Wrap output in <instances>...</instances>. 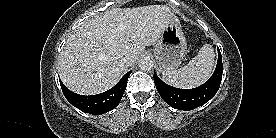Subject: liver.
<instances>
[{"label": "liver", "instance_id": "obj_1", "mask_svg": "<svg viewBox=\"0 0 276 138\" xmlns=\"http://www.w3.org/2000/svg\"><path fill=\"white\" fill-rule=\"evenodd\" d=\"M166 5L114 8L81 24L67 39L59 59L64 85L82 95H94L113 87L128 66L160 38L171 17Z\"/></svg>", "mask_w": 276, "mask_h": 138}]
</instances>
